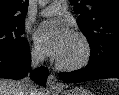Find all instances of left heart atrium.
I'll use <instances>...</instances> for the list:
<instances>
[{
  "mask_svg": "<svg viewBox=\"0 0 119 95\" xmlns=\"http://www.w3.org/2000/svg\"><path fill=\"white\" fill-rule=\"evenodd\" d=\"M72 38L68 27L53 22L42 24L35 35L38 46L57 60L63 56Z\"/></svg>",
  "mask_w": 119,
  "mask_h": 95,
  "instance_id": "left-heart-atrium-1",
  "label": "left heart atrium"
}]
</instances>
